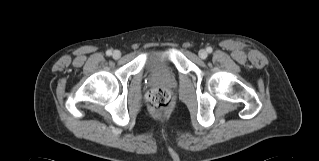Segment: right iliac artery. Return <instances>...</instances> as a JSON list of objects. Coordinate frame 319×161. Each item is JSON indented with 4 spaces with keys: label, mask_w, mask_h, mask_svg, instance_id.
Here are the masks:
<instances>
[{
    "label": "right iliac artery",
    "mask_w": 319,
    "mask_h": 161,
    "mask_svg": "<svg viewBox=\"0 0 319 161\" xmlns=\"http://www.w3.org/2000/svg\"><path fill=\"white\" fill-rule=\"evenodd\" d=\"M106 55H107V56L112 55V51H111V50H107V51H106Z\"/></svg>",
    "instance_id": "1"
}]
</instances>
